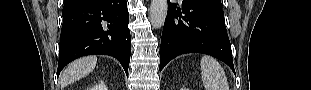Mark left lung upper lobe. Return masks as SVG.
Wrapping results in <instances>:
<instances>
[{"label": "left lung upper lobe", "instance_id": "left-lung-upper-lobe-1", "mask_svg": "<svg viewBox=\"0 0 311 90\" xmlns=\"http://www.w3.org/2000/svg\"><path fill=\"white\" fill-rule=\"evenodd\" d=\"M202 1L209 3V4H212L214 6H217L219 8H222L221 0H202Z\"/></svg>", "mask_w": 311, "mask_h": 90}]
</instances>
